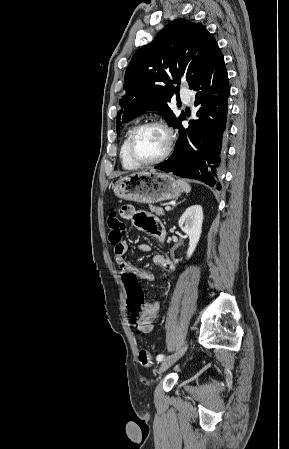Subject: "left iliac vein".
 <instances>
[{
    "mask_svg": "<svg viewBox=\"0 0 289 449\" xmlns=\"http://www.w3.org/2000/svg\"><path fill=\"white\" fill-rule=\"evenodd\" d=\"M188 346L185 345L179 352H177L176 354L169 356L167 358H165L162 362L161 365L159 367V373H163L164 371H166L170 366H172L177 360H179L184 353L186 352Z\"/></svg>",
    "mask_w": 289,
    "mask_h": 449,
    "instance_id": "4c4485c4",
    "label": "left iliac vein"
}]
</instances>
